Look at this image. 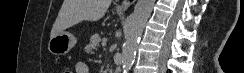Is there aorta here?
<instances>
[{
    "label": "aorta",
    "instance_id": "762f6f07",
    "mask_svg": "<svg viewBox=\"0 0 244 73\" xmlns=\"http://www.w3.org/2000/svg\"><path fill=\"white\" fill-rule=\"evenodd\" d=\"M155 0H138L131 17L129 31L122 49V68L127 73L133 64L138 42L152 13Z\"/></svg>",
    "mask_w": 244,
    "mask_h": 73
}]
</instances>
